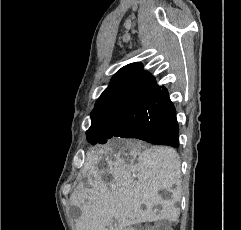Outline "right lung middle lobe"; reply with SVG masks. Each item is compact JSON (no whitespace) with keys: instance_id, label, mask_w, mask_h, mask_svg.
<instances>
[{"instance_id":"right-lung-middle-lobe-1","label":"right lung middle lobe","mask_w":241,"mask_h":230,"mask_svg":"<svg viewBox=\"0 0 241 230\" xmlns=\"http://www.w3.org/2000/svg\"><path fill=\"white\" fill-rule=\"evenodd\" d=\"M146 106L131 112L111 111L92 121L86 132L88 142L94 145L104 144L115 137L135 138V131L145 123Z\"/></svg>"}]
</instances>
